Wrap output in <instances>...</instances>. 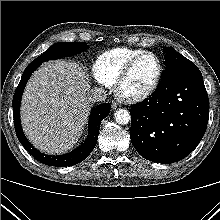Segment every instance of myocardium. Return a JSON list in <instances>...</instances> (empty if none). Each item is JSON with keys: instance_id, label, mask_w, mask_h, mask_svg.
<instances>
[{"instance_id": "f54148a6", "label": "myocardium", "mask_w": 220, "mask_h": 220, "mask_svg": "<svg viewBox=\"0 0 220 220\" xmlns=\"http://www.w3.org/2000/svg\"><path fill=\"white\" fill-rule=\"evenodd\" d=\"M146 55H150V56L154 57L157 61L158 68H157V73H156L155 79L153 80L152 84L145 91L138 93V94H133V95L125 94L122 91V86H123L124 82L126 81L128 76L130 75L133 67L138 62V60ZM162 72H163V65H162V61H161L160 57L154 52L142 51L139 54L135 55L123 68V70L121 71V73L119 74V76L117 77V79L115 81V91H116L118 97L125 102H130V103L140 102V101L148 98L156 90V88L160 82V79L162 77Z\"/></svg>"}]
</instances>
